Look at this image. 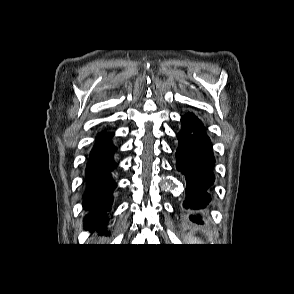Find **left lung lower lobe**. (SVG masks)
<instances>
[{
    "label": "left lung lower lobe",
    "instance_id": "0a47b994",
    "mask_svg": "<svg viewBox=\"0 0 294 294\" xmlns=\"http://www.w3.org/2000/svg\"><path fill=\"white\" fill-rule=\"evenodd\" d=\"M181 122L176 158L177 170L185 175L187 182L184 207L202 209L210 201L208 192L215 179L212 145L203 124L193 114L183 116ZM190 220L197 224L203 223L199 215H191Z\"/></svg>",
    "mask_w": 294,
    "mask_h": 294
}]
</instances>
